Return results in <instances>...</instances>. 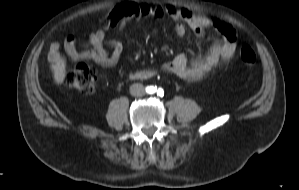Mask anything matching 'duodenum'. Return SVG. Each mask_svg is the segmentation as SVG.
Here are the masks:
<instances>
[{
    "label": "duodenum",
    "mask_w": 299,
    "mask_h": 190,
    "mask_svg": "<svg viewBox=\"0 0 299 190\" xmlns=\"http://www.w3.org/2000/svg\"><path fill=\"white\" fill-rule=\"evenodd\" d=\"M155 74L153 70L145 69V70H140L137 71L136 73L133 74V76L137 79H147L152 77Z\"/></svg>",
    "instance_id": "obj_1"
}]
</instances>
